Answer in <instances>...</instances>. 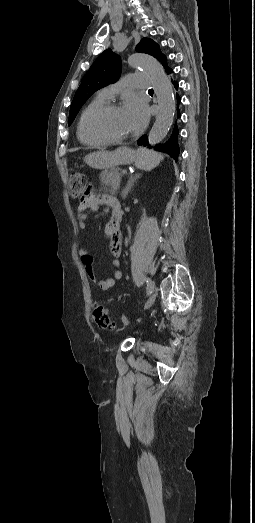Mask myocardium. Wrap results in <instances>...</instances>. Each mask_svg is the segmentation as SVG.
Here are the masks:
<instances>
[{
  "mask_svg": "<svg viewBox=\"0 0 255 523\" xmlns=\"http://www.w3.org/2000/svg\"><path fill=\"white\" fill-rule=\"evenodd\" d=\"M124 106H125L124 103H114L111 101H107V102H104V103L99 104V105L95 106L94 108H92L86 114L84 121H83V129H84L86 135L89 138L97 140L102 143H119V142H126V141L133 140L135 138V135H133L131 137H113V136L100 135V134L94 132L90 126L91 120L98 114L103 113L108 110L121 109Z\"/></svg>",
  "mask_w": 255,
  "mask_h": 523,
  "instance_id": "f54148a6",
  "label": "myocardium"
}]
</instances>
